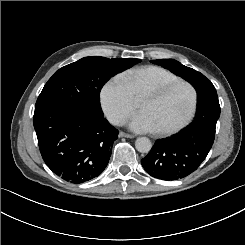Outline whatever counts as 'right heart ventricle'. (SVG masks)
<instances>
[{
    "label": "right heart ventricle",
    "mask_w": 245,
    "mask_h": 245,
    "mask_svg": "<svg viewBox=\"0 0 245 245\" xmlns=\"http://www.w3.org/2000/svg\"><path fill=\"white\" fill-rule=\"evenodd\" d=\"M119 79L128 87L134 100H138L145 87L151 84L166 85L180 81L174 73L158 66H142L121 73Z\"/></svg>",
    "instance_id": "right-heart-ventricle-1"
}]
</instances>
